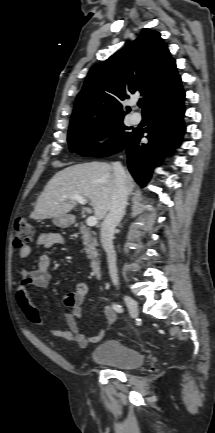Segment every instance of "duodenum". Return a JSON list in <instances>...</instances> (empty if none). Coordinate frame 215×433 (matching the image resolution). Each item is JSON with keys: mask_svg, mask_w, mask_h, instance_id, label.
Listing matches in <instances>:
<instances>
[{"mask_svg": "<svg viewBox=\"0 0 215 433\" xmlns=\"http://www.w3.org/2000/svg\"><path fill=\"white\" fill-rule=\"evenodd\" d=\"M91 271L97 280L102 278V268L99 259H93L91 262Z\"/></svg>", "mask_w": 215, "mask_h": 433, "instance_id": "1", "label": "duodenum"}]
</instances>
